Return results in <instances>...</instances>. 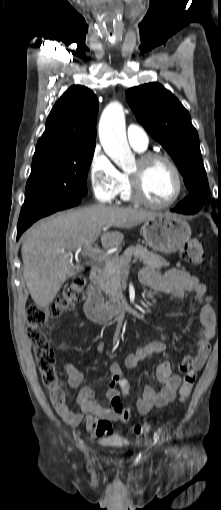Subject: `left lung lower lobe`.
<instances>
[{
  "instance_id": "obj_1",
  "label": "left lung lower lobe",
  "mask_w": 221,
  "mask_h": 510,
  "mask_svg": "<svg viewBox=\"0 0 221 510\" xmlns=\"http://www.w3.org/2000/svg\"><path fill=\"white\" fill-rule=\"evenodd\" d=\"M200 210L199 207H197L194 202H181L179 203L175 209H173L172 211H176V212H179V213H184V214H194L196 212H198ZM212 217L214 219V221L217 223L218 227L221 226V213H218V214H214L212 213Z\"/></svg>"
}]
</instances>
